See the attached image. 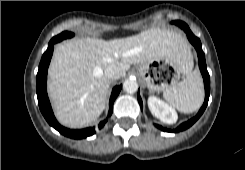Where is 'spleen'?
<instances>
[{"instance_id": "1", "label": "spleen", "mask_w": 245, "mask_h": 170, "mask_svg": "<svg viewBox=\"0 0 245 170\" xmlns=\"http://www.w3.org/2000/svg\"><path fill=\"white\" fill-rule=\"evenodd\" d=\"M163 97L170 106L182 113L195 112L204 99L203 81L199 71H190L183 81L166 89L163 92Z\"/></svg>"}]
</instances>
